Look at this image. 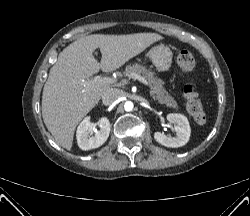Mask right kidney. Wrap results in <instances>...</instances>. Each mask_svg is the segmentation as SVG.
Segmentation results:
<instances>
[{
	"label": "right kidney",
	"mask_w": 250,
	"mask_h": 216,
	"mask_svg": "<svg viewBox=\"0 0 250 216\" xmlns=\"http://www.w3.org/2000/svg\"><path fill=\"white\" fill-rule=\"evenodd\" d=\"M96 125H99V131L96 130ZM94 132L95 135H93ZM109 134L110 122L108 118L102 117L97 123H92L90 118L86 117L77 128V143L82 150L98 148L105 143Z\"/></svg>",
	"instance_id": "obj_1"
}]
</instances>
